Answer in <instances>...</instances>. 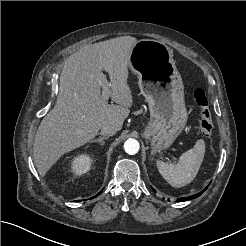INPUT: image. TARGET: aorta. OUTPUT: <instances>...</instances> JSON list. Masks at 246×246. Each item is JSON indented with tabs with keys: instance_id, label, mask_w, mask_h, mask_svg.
I'll return each instance as SVG.
<instances>
[{
	"instance_id": "1",
	"label": "aorta",
	"mask_w": 246,
	"mask_h": 246,
	"mask_svg": "<svg viewBox=\"0 0 246 246\" xmlns=\"http://www.w3.org/2000/svg\"><path fill=\"white\" fill-rule=\"evenodd\" d=\"M140 145L136 139L129 138L124 143V150L129 155H134L139 151Z\"/></svg>"
}]
</instances>
